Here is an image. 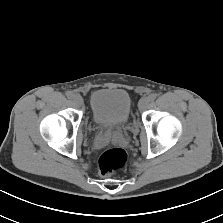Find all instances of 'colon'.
Instances as JSON below:
<instances>
[{"label": "colon", "mask_w": 223, "mask_h": 223, "mask_svg": "<svg viewBox=\"0 0 223 223\" xmlns=\"http://www.w3.org/2000/svg\"><path fill=\"white\" fill-rule=\"evenodd\" d=\"M128 155L121 148H110L105 150L98 159L99 172L108 176L120 169L127 163Z\"/></svg>", "instance_id": "colon-1"}]
</instances>
